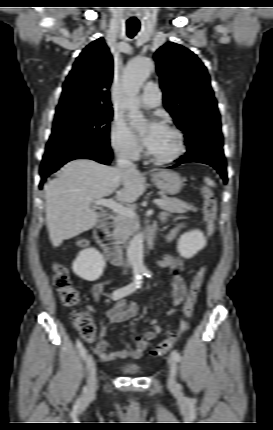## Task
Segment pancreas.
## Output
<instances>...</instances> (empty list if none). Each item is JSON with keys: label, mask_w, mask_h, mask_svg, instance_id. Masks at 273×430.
<instances>
[{"label": "pancreas", "mask_w": 273, "mask_h": 430, "mask_svg": "<svg viewBox=\"0 0 273 430\" xmlns=\"http://www.w3.org/2000/svg\"><path fill=\"white\" fill-rule=\"evenodd\" d=\"M162 199L166 202L164 205H160L163 210L174 213L197 211V208H195L192 204H188L184 201L166 196ZM138 223L139 221L136 216L128 217L118 214L114 218V236L119 240H124L128 238L133 232L134 228L138 225Z\"/></svg>", "instance_id": "1"}]
</instances>
